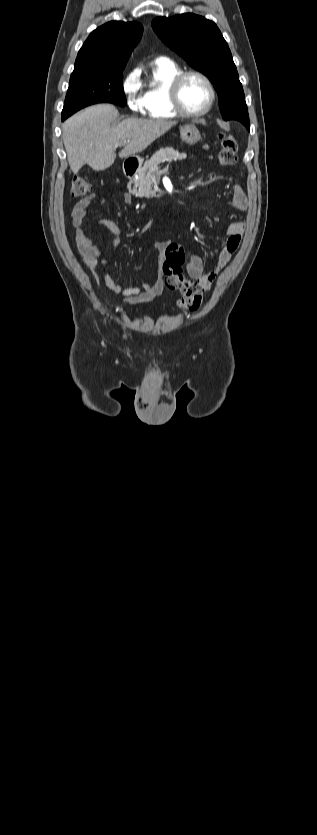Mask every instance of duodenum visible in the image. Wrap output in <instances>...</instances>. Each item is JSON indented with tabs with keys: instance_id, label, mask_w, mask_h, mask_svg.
Instances as JSON below:
<instances>
[{
	"instance_id": "obj_1",
	"label": "duodenum",
	"mask_w": 317,
	"mask_h": 835,
	"mask_svg": "<svg viewBox=\"0 0 317 835\" xmlns=\"http://www.w3.org/2000/svg\"><path fill=\"white\" fill-rule=\"evenodd\" d=\"M138 169V164L133 160H126L123 165V172L127 178L132 177Z\"/></svg>"
}]
</instances>
